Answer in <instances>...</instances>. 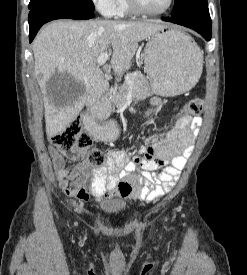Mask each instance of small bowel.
Wrapping results in <instances>:
<instances>
[{
	"label": "small bowel",
	"mask_w": 247,
	"mask_h": 275,
	"mask_svg": "<svg viewBox=\"0 0 247 275\" xmlns=\"http://www.w3.org/2000/svg\"><path fill=\"white\" fill-rule=\"evenodd\" d=\"M153 104L159 108L161 101L155 99ZM85 121L91 128V118ZM201 124L200 116H180L165 140L145 144L140 150L141 156L130 158L123 150H111L107 153L105 165L96 169H89L85 159L68 167L63 154L51 147L56 179L66 195L81 201L94 197L97 202L104 198L110 201L127 199L152 202L175 186L194 149ZM120 183L130 185L128 194L118 192Z\"/></svg>",
	"instance_id": "1"
}]
</instances>
